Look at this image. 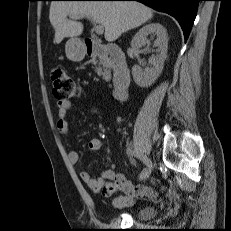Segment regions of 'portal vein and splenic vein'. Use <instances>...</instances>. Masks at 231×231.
I'll list each match as a JSON object with an SVG mask.
<instances>
[{
    "mask_svg": "<svg viewBox=\"0 0 231 231\" xmlns=\"http://www.w3.org/2000/svg\"><path fill=\"white\" fill-rule=\"evenodd\" d=\"M84 15H76L74 16L73 18L74 19H79V18H83ZM92 22H93V25H94V29H95V32L98 34V35H101L103 34L104 32V28L102 25H97L96 21L92 19Z\"/></svg>",
    "mask_w": 231,
    "mask_h": 231,
    "instance_id": "obj_1",
    "label": "portal vein and splenic vein"
}]
</instances>
